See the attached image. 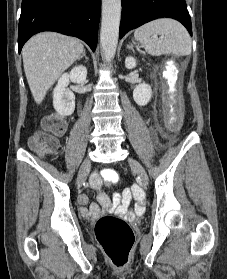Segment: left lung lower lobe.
I'll return each mask as SVG.
<instances>
[{"label": "left lung lower lobe", "mask_w": 227, "mask_h": 279, "mask_svg": "<svg viewBox=\"0 0 227 279\" xmlns=\"http://www.w3.org/2000/svg\"><path fill=\"white\" fill-rule=\"evenodd\" d=\"M163 17L178 20L192 34L185 0H122L119 38L132 29Z\"/></svg>", "instance_id": "left-lung-lower-lobe-1"}]
</instances>
